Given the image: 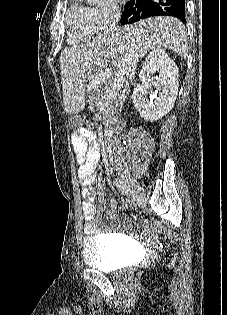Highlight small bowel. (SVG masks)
I'll return each instance as SVG.
<instances>
[{
    "label": "small bowel",
    "instance_id": "1",
    "mask_svg": "<svg viewBox=\"0 0 227 315\" xmlns=\"http://www.w3.org/2000/svg\"><path fill=\"white\" fill-rule=\"evenodd\" d=\"M71 145L76 156L78 165V177L83 196L82 213L84 218L83 230L87 235L98 233L99 228L96 224L99 210L95 206L96 192L94 189L95 168L101 159V149L94 132L76 131L71 135ZM118 209L116 200L110 201L109 208L105 211L108 218H114ZM139 224H144L136 216H132ZM154 232L149 229L145 233L146 238H151Z\"/></svg>",
    "mask_w": 227,
    "mask_h": 315
}]
</instances>
